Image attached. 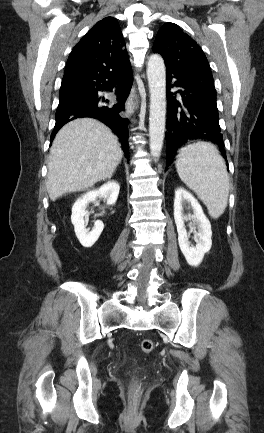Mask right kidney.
Here are the masks:
<instances>
[{
	"label": "right kidney",
	"mask_w": 264,
	"mask_h": 433,
	"mask_svg": "<svg viewBox=\"0 0 264 433\" xmlns=\"http://www.w3.org/2000/svg\"><path fill=\"white\" fill-rule=\"evenodd\" d=\"M119 190L120 186L116 181H109L99 189L87 192L74 203L71 222L74 225L75 234L82 246L87 248L93 246L104 229V224L100 220L94 223L91 231L86 228L84 217L87 214V205L90 202L96 201L98 197L105 199L107 205H113L118 198Z\"/></svg>",
	"instance_id": "ca27d5eb"
}]
</instances>
